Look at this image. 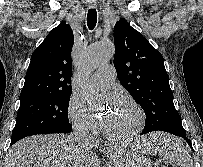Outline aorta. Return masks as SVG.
Masks as SVG:
<instances>
[{
	"mask_svg": "<svg viewBox=\"0 0 203 167\" xmlns=\"http://www.w3.org/2000/svg\"><path fill=\"white\" fill-rule=\"evenodd\" d=\"M114 45L109 40L91 44L80 59L78 79L82 95L89 103L99 100V94L87 83L88 76L97 67L107 63L114 56Z\"/></svg>",
	"mask_w": 203,
	"mask_h": 167,
	"instance_id": "aorta-1",
	"label": "aorta"
}]
</instances>
